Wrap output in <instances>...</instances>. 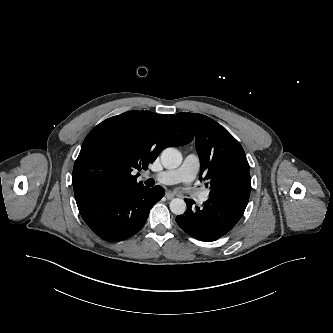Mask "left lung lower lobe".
Wrapping results in <instances>:
<instances>
[{"label":"left lung lower lobe","instance_id":"0a47b994","mask_svg":"<svg viewBox=\"0 0 333 333\" xmlns=\"http://www.w3.org/2000/svg\"><path fill=\"white\" fill-rule=\"evenodd\" d=\"M251 190L250 174L229 177L212 188L204 207L193 208L194 201L185 199L188 209L177 216V224L190 236L201 241H215L228 233L242 217Z\"/></svg>","mask_w":333,"mask_h":333}]
</instances>
